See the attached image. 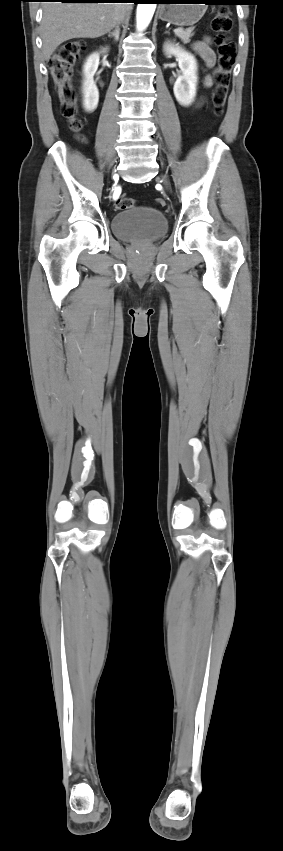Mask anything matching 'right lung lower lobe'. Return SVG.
<instances>
[{
	"label": "right lung lower lobe",
	"mask_w": 283,
	"mask_h": 851,
	"mask_svg": "<svg viewBox=\"0 0 283 851\" xmlns=\"http://www.w3.org/2000/svg\"><path fill=\"white\" fill-rule=\"evenodd\" d=\"M46 1H61V2H98V3H111V2H128V3H138L141 0H46Z\"/></svg>",
	"instance_id": "1"
}]
</instances>
